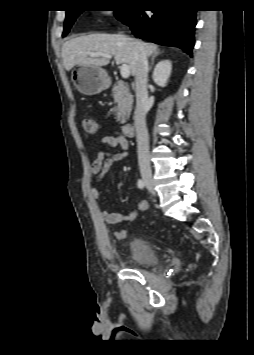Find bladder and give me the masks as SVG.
<instances>
[{
    "label": "bladder",
    "instance_id": "31cf9c89",
    "mask_svg": "<svg viewBox=\"0 0 254 355\" xmlns=\"http://www.w3.org/2000/svg\"><path fill=\"white\" fill-rule=\"evenodd\" d=\"M131 260L140 266H155L160 257L154 244L146 239L135 237L131 240Z\"/></svg>",
    "mask_w": 254,
    "mask_h": 355
}]
</instances>
